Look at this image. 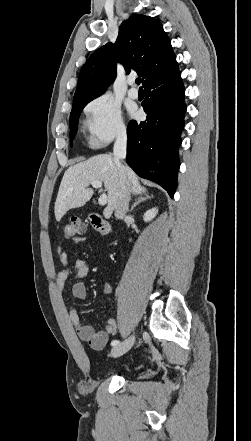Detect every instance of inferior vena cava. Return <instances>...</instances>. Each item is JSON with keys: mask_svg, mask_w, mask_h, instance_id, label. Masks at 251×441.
<instances>
[{"mask_svg": "<svg viewBox=\"0 0 251 441\" xmlns=\"http://www.w3.org/2000/svg\"><path fill=\"white\" fill-rule=\"evenodd\" d=\"M127 135L125 131H121L116 138L113 147L114 161L119 169L120 192L118 203L115 208V216L123 219L126 216L130 200V183L127 179L124 166L121 160L126 157Z\"/></svg>", "mask_w": 251, "mask_h": 441, "instance_id": "602c4592", "label": "inferior vena cava"}]
</instances>
